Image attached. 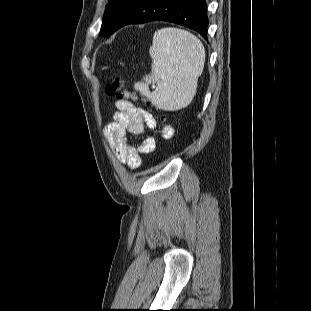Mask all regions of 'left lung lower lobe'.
Returning a JSON list of instances; mask_svg holds the SVG:
<instances>
[{
  "mask_svg": "<svg viewBox=\"0 0 311 311\" xmlns=\"http://www.w3.org/2000/svg\"><path fill=\"white\" fill-rule=\"evenodd\" d=\"M152 21L176 23L206 39L208 17L205 0H129L117 19L113 33L129 24Z\"/></svg>",
  "mask_w": 311,
  "mask_h": 311,
  "instance_id": "obj_1",
  "label": "left lung lower lobe"
}]
</instances>
